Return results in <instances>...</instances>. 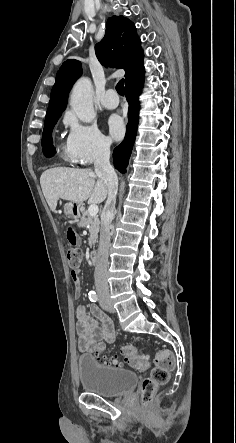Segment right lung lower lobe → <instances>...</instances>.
Masks as SVG:
<instances>
[{"label": "right lung lower lobe", "mask_w": 236, "mask_h": 443, "mask_svg": "<svg viewBox=\"0 0 236 443\" xmlns=\"http://www.w3.org/2000/svg\"><path fill=\"white\" fill-rule=\"evenodd\" d=\"M144 78V68L133 73L125 80V96L129 103L128 123L126 125L125 139L113 151V162L115 167L122 173L126 172V167L131 155L133 144L136 137L139 102L138 96L141 92L142 81ZM45 156L51 157L55 153L54 147L43 151Z\"/></svg>", "instance_id": "right-lung-lower-lobe-1"}]
</instances>
